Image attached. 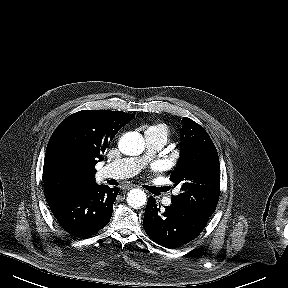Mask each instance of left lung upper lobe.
Returning a JSON list of instances; mask_svg holds the SVG:
<instances>
[{"label": "left lung upper lobe", "instance_id": "obj_1", "mask_svg": "<svg viewBox=\"0 0 288 288\" xmlns=\"http://www.w3.org/2000/svg\"><path fill=\"white\" fill-rule=\"evenodd\" d=\"M181 154L171 181L181 186L172 203L211 216L220 192V164L217 150L207 132L193 120H182Z\"/></svg>", "mask_w": 288, "mask_h": 288}]
</instances>
